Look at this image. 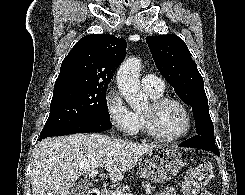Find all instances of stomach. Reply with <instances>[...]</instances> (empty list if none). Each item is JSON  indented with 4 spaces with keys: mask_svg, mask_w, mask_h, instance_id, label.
Here are the masks:
<instances>
[{
    "mask_svg": "<svg viewBox=\"0 0 245 195\" xmlns=\"http://www.w3.org/2000/svg\"><path fill=\"white\" fill-rule=\"evenodd\" d=\"M182 166V155L171 146H159L146 152L138 163L141 176L154 183L172 179Z\"/></svg>",
    "mask_w": 245,
    "mask_h": 195,
    "instance_id": "obj_1",
    "label": "stomach"
}]
</instances>
